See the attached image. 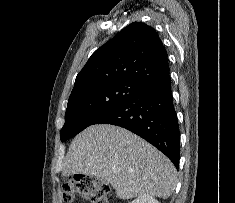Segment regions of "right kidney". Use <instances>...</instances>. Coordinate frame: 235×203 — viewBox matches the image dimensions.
<instances>
[{
    "instance_id": "right-kidney-1",
    "label": "right kidney",
    "mask_w": 235,
    "mask_h": 203,
    "mask_svg": "<svg viewBox=\"0 0 235 203\" xmlns=\"http://www.w3.org/2000/svg\"><path fill=\"white\" fill-rule=\"evenodd\" d=\"M129 203H159L153 196L142 195Z\"/></svg>"
}]
</instances>
